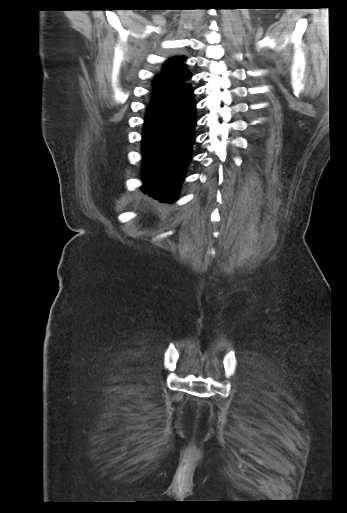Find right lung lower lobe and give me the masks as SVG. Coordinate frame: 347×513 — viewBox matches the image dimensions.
<instances>
[{
    "label": "right lung lower lobe",
    "mask_w": 347,
    "mask_h": 513,
    "mask_svg": "<svg viewBox=\"0 0 347 513\" xmlns=\"http://www.w3.org/2000/svg\"><path fill=\"white\" fill-rule=\"evenodd\" d=\"M195 126L196 102L189 83L167 96H153L142 138L145 193L161 202L176 198L191 159Z\"/></svg>",
    "instance_id": "obj_1"
}]
</instances>
